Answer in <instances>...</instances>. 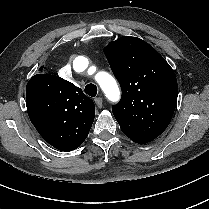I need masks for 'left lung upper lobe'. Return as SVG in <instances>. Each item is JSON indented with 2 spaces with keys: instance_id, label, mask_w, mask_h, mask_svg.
Segmentation results:
<instances>
[{
  "instance_id": "left-lung-upper-lobe-1",
  "label": "left lung upper lobe",
  "mask_w": 209,
  "mask_h": 209,
  "mask_svg": "<svg viewBox=\"0 0 209 209\" xmlns=\"http://www.w3.org/2000/svg\"><path fill=\"white\" fill-rule=\"evenodd\" d=\"M104 53L119 81L122 98L112 112L122 132L138 144L151 142L169 125L178 86L166 60L136 37L110 42Z\"/></svg>"
}]
</instances>
